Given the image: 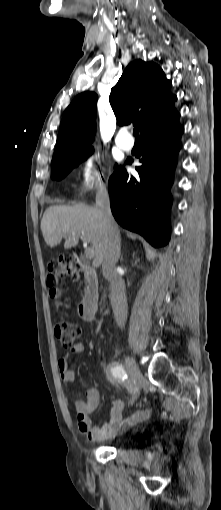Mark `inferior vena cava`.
<instances>
[{"instance_id":"1","label":"inferior vena cava","mask_w":221,"mask_h":510,"mask_svg":"<svg viewBox=\"0 0 221 510\" xmlns=\"http://www.w3.org/2000/svg\"><path fill=\"white\" fill-rule=\"evenodd\" d=\"M96 206L103 214L104 227L108 234V241L104 253L102 271L103 276L110 282L111 301L115 320L119 327H124L127 319L128 305L124 282L118 277L116 263L120 256V234L112 216L107 189L100 188L96 193Z\"/></svg>"}]
</instances>
